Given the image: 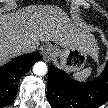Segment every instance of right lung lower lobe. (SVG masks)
<instances>
[{
	"label": "right lung lower lobe",
	"instance_id": "obj_1",
	"mask_svg": "<svg viewBox=\"0 0 108 108\" xmlns=\"http://www.w3.org/2000/svg\"><path fill=\"white\" fill-rule=\"evenodd\" d=\"M39 59V52L19 56L0 68V103L7 106L16 97L20 77Z\"/></svg>",
	"mask_w": 108,
	"mask_h": 108
}]
</instances>
